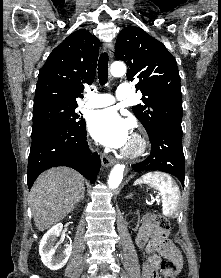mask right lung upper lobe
I'll return each mask as SVG.
<instances>
[{
  "label": "right lung upper lobe",
  "mask_w": 221,
  "mask_h": 278,
  "mask_svg": "<svg viewBox=\"0 0 221 278\" xmlns=\"http://www.w3.org/2000/svg\"><path fill=\"white\" fill-rule=\"evenodd\" d=\"M99 45L93 34L77 30L56 47L39 71L34 106L47 102L77 104L84 84L94 81Z\"/></svg>",
  "instance_id": "cb5924a9"
}]
</instances>
